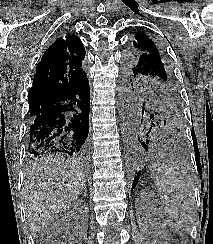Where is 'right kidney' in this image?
Returning <instances> with one entry per match:
<instances>
[{
	"mask_svg": "<svg viewBox=\"0 0 213 244\" xmlns=\"http://www.w3.org/2000/svg\"><path fill=\"white\" fill-rule=\"evenodd\" d=\"M62 217H68L70 215L81 217L79 224L81 223L82 227H85L88 220V210L87 205L82 200H76L72 204H70L67 208H65L60 214Z\"/></svg>",
	"mask_w": 213,
	"mask_h": 244,
	"instance_id": "1",
	"label": "right kidney"
}]
</instances>
